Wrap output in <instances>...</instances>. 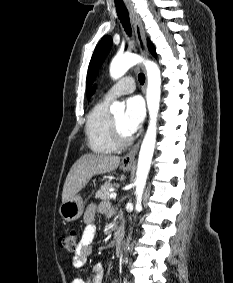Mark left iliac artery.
<instances>
[{
    "label": "left iliac artery",
    "mask_w": 233,
    "mask_h": 283,
    "mask_svg": "<svg viewBox=\"0 0 233 283\" xmlns=\"http://www.w3.org/2000/svg\"><path fill=\"white\" fill-rule=\"evenodd\" d=\"M123 283H127L126 279H124Z\"/></svg>",
    "instance_id": "1"
}]
</instances>
